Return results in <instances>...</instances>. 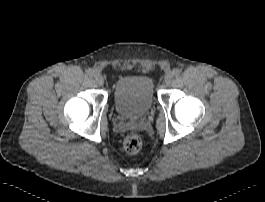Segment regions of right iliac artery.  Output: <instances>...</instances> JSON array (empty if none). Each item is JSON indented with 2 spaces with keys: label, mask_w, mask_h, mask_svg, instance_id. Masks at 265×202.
Returning a JSON list of instances; mask_svg holds the SVG:
<instances>
[{
  "label": "right iliac artery",
  "mask_w": 265,
  "mask_h": 202,
  "mask_svg": "<svg viewBox=\"0 0 265 202\" xmlns=\"http://www.w3.org/2000/svg\"><path fill=\"white\" fill-rule=\"evenodd\" d=\"M86 74H87L88 76L92 77V76L95 74V72H94V70H92V69H88V70L86 71Z\"/></svg>",
  "instance_id": "82829eb1"
}]
</instances>
